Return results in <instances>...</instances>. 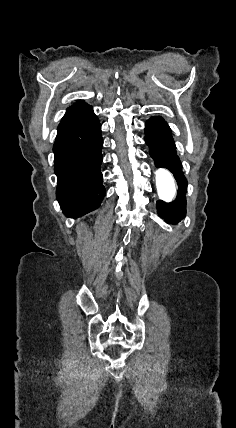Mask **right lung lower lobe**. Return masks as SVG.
<instances>
[{
  "label": "right lung lower lobe",
  "instance_id": "right-lung-lower-lobe-1",
  "mask_svg": "<svg viewBox=\"0 0 236 428\" xmlns=\"http://www.w3.org/2000/svg\"><path fill=\"white\" fill-rule=\"evenodd\" d=\"M102 145L101 125L92 107H69L53 147L56 198L67 217H81L101 204L105 194L100 171Z\"/></svg>",
  "mask_w": 236,
  "mask_h": 428
}]
</instances>
